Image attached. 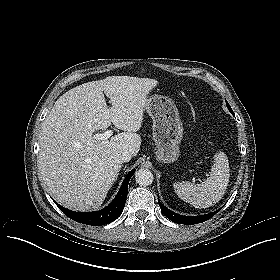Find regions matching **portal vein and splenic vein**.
Wrapping results in <instances>:
<instances>
[{"label":"portal vein and splenic vein","instance_id":"portal-vein-and-splenic-vein-1","mask_svg":"<svg viewBox=\"0 0 280 280\" xmlns=\"http://www.w3.org/2000/svg\"><path fill=\"white\" fill-rule=\"evenodd\" d=\"M112 135H113V131L112 130H107V131H105L104 133H101V134L97 133L93 137H94V139H97V140H107Z\"/></svg>","mask_w":280,"mask_h":280}]
</instances>
